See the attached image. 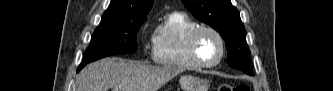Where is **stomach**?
<instances>
[{
    "label": "stomach",
    "instance_id": "0dacf381",
    "mask_svg": "<svg viewBox=\"0 0 333 91\" xmlns=\"http://www.w3.org/2000/svg\"><path fill=\"white\" fill-rule=\"evenodd\" d=\"M183 91H207L208 82L195 76H182L179 80Z\"/></svg>",
    "mask_w": 333,
    "mask_h": 91
}]
</instances>
